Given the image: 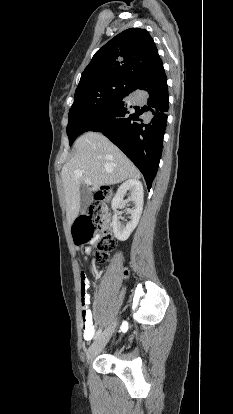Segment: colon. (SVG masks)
<instances>
[{
    "mask_svg": "<svg viewBox=\"0 0 233 414\" xmlns=\"http://www.w3.org/2000/svg\"><path fill=\"white\" fill-rule=\"evenodd\" d=\"M112 196V190L108 186L101 187L94 195V201L89 210L80 215L73 225V238L77 245L95 243L97 251L95 258L105 261L108 257V250L113 246V239L109 234H103L99 239H95L97 231L105 228L108 220L107 203ZM124 271V275H127ZM89 281V280H88Z\"/></svg>",
    "mask_w": 233,
    "mask_h": 414,
    "instance_id": "5ec220e1",
    "label": "colon"
}]
</instances>
